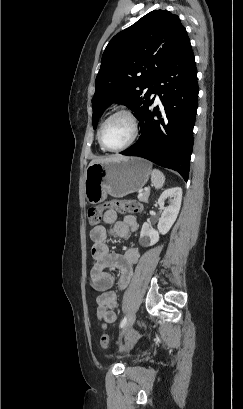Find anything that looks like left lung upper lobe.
<instances>
[{
    "mask_svg": "<svg viewBox=\"0 0 243 409\" xmlns=\"http://www.w3.org/2000/svg\"><path fill=\"white\" fill-rule=\"evenodd\" d=\"M188 39L179 17L167 10L151 11L115 35L105 48L95 81L94 129L104 108L114 100L138 117L154 82Z\"/></svg>",
    "mask_w": 243,
    "mask_h": 409,
    "instance_id": "obj_1",
    "label": "left lung upper lobe"
}]
</instances>
